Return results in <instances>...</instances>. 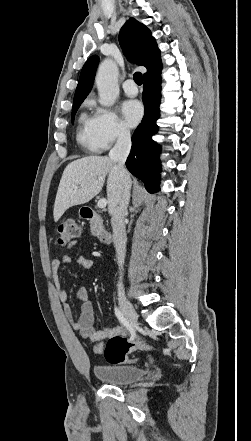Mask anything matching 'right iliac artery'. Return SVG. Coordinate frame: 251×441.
I'll list each match as a JSON object with an SVG mask.
<instances>
[{"mask_svg":"<svg viewBox=\"0 0 251 441\" xmlns=\"http://www.w3.org/2000/svg\"><path fill=\"white\" fill-rule=\"evenodd\" d=\"M115 315L118 318V320L127 328V330L130 332V340H133L135 338V332L132 326L129 324L127 319L124 317L123 313L118 307H115Z\"/></svg>","mask_w":251,"mask_h":441,"instance_id":"82829eb1","label":"right iliac artery"}]
</instances>
